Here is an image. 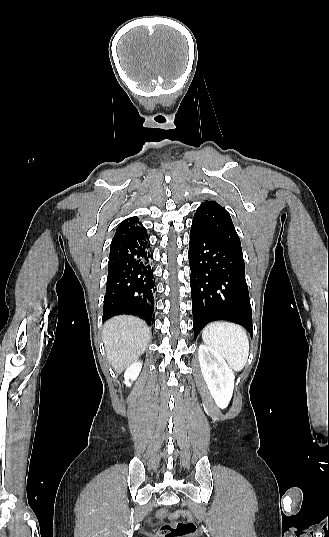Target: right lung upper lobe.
<instances>
[{"label": "right lung upper lobe", "mask_w": 329, "mask_h": 537, "mask_svg": "<svg viewBox=\"0 0 329 537\" xmlns=\"http://www.w3.org/2000/svg\"><path fill=\"white\" fill-rule=\"evenodd\" d=\"M137 223H138V218L136 216L130 217L122 221V223L116 229V233L113 238V241L128 238L130 236H133L145 230V228L139 226Z\"/></svg>", "instance_id": "right-lung-upper-lobe-1"}]
</instances>
